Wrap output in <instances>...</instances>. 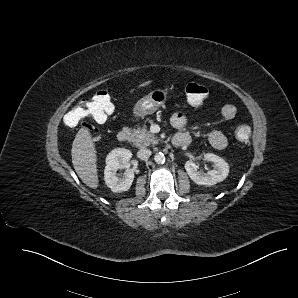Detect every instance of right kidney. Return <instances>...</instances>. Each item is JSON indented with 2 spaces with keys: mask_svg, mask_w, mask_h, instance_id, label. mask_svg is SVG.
<instances>
[{
  "mask_svg": "<svg viewBox=\"0 0 298 298\" xmlns=\"http://www.w3.org/2000/svg\"><path fill=\"white\" fill-rule=\"evenodd\" d=\"M132 152L126 148H114L105 157L104 181L112 192H122L130 188L134 179V171L129 168ZM120 163L127 168L122 178L116 176Z\"/></svg>",
  "mask_w": 298,
  "mask_h": 298,
  "instance_id": "1",
  "label": "right kidney"
}]
</instances>
